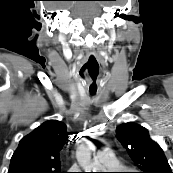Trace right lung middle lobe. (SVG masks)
<instances>
[{
  "instance_id": "obj_1",
  "label": "right lung middle lobe",
  "mask_w": 173,
  "mask_h": 173,
  "mask_svg": "<svg viewBox=\"0 0 173 173\" xmlns=\"http://www.w3.org/2000/svg\"><path fill=\"white\" fill-rule=\"evenodd\" d=\"M18 173H35L34 171H28V170H23V171H19ZM45 173H53V171H46ZM56 173V172H54Z\"/></svg>"
}]
</instances>
